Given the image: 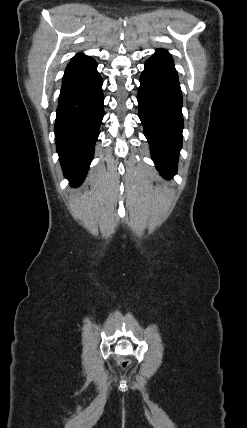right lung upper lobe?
Instances as JSON below:
<instances>
[{"label":"right lung upper lobe","mask_w":247,"mask_h":428,"mask_svg":"<svg viewBox=\"0 0 247 428\" xmlns=\"http://www.w3.org/2000/svg\"><path fill=\"white\" fill-rule=\"evenodd\" d=\"M87 56L86 55H84V54H78V55H75L72 59H71V62H74V61H78V60H82V59H84V58H86Z\"/></svg>","instance_id":"obj_1"}]
</instances>
